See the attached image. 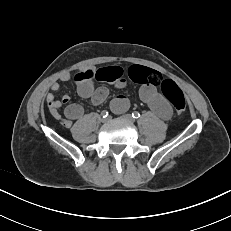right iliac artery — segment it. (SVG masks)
Here are the masks:
<instances>
[{
    "label": "right iliac artery",
    "mask_w": 231,
    "mask_h": 231,
    "mask_svg": "<svg viewBox=\"0 0 231 231\" xmlns=\"http://www.w3.org/2000/svg\"><path fill=\"white\" fill-rule=\"evenodd\" d=\"M108 111H106V110H103L102 112H101V116L103 117V118H105V117H107L108 116Z\"/></svg>",
    "instance_id": "obj_1"
}]
</instances>
